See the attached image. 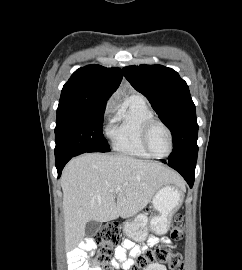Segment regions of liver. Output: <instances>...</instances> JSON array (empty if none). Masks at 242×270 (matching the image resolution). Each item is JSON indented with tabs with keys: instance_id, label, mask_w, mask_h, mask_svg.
Returning a JSON list of instances; mask_svg holds the SVG:
<instances>
[{
	"instance_id": "liver-1",
	"label": "liver",
	"mask_w": 242,
	"mask_h": 270,
	"mask_svg": "<svg viewBox=\"0 0 242 270\" xmlns=\"http://www.w3.org/2000/svg\"><path fill=\"white\" fill-rule=\"evenodd\" d=\"M167 184L184 185L177 173L157 162L101 153L73 158L61 177L66 247L84 238L91 220L107 222L136 215ZM118 185L122 188L116 193Z\"/></svg>"
}]
</instances>
